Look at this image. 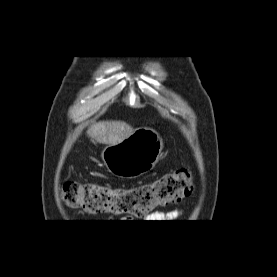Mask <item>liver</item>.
Here are the masks:
<instances>
[{
	"mask_svg": "<svg viewBox=\"0 0 277 277\" xmlns=\"http://www.w3.org/2000/svg\"><path fill=\"white\" fill-rule=\"evenodd\" d=\"M136 131L130 125L121 121H100L92 124L87 134L90 138L102 144L115 145Z\"/></svg>",
	"mask_w": 277,
	"mask_h": 277,
	"instance_id": "liver-1",
	"label": "liver"
}]
</instances>
